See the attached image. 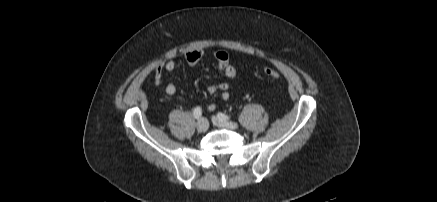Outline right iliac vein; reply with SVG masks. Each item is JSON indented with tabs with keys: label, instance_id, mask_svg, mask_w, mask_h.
Returning <instances> with one entry per match:
<instances>
[{
	"label": "right iliac vein",
	"instance_id": "1",
	"mask_svg": "<svg viewBox=\"0 0 437 202\" xmlns=\"http://www.w3.org/2000/svg\"><path fill=\"white\" fill-rule=\"evenodd\" d=\"M196 128L198 132H206L209 128V123L205 118H201L198 120Z\"/></svg>",
	"mask_w": 437,
	"mask_h": 202
}]
</instances>
